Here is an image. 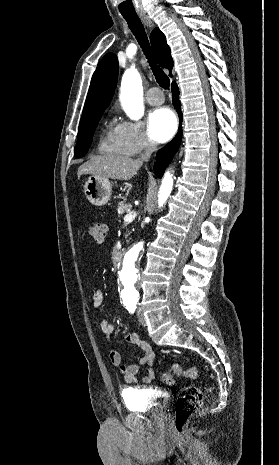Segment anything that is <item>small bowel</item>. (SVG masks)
I'll return each instance as SVG.
<instances>
[{
    "label": "small bowel",
    "instance_id": "obj_1",
    "mask_svg": "<svg viewBox=\"0 0 279 465\" xmlns=\"http://www.w3.org/2000/svg\"><path fill=\"white\" fill-rule=\"evenodd\" d=\"M104 292L102 289H95L93 291L92 300L95 307H100L104 303ZM101 330L105 337L109 340L111 335L114 332V325L106 320L101 322ZM125 339L128 343L137 345L142 354L138 358L137 363L126 364L122 362L120 354L111 350L109 357L113 366L117 369L118 373L123 376L124 381L127 384H133L137 382V374L141 367L147 366V370L143 376V382L150 383L155 378L154 371V362H155V352L152 346L145 340H143L138 333H127L125 334Z\"/></svg>",
    "mask_w": 279,
    "mask_h": 465
}]
</instances>
